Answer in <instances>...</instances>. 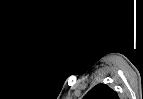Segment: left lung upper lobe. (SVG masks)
I'll list each match as a JSON object with an SVG mask.
<instances>
[{
  "label": "left lung upper lobe",
  "mask_w": 143,
  "mask_h": 99,
  "mask_svg": "<svg viewBox=\"0 0 143 99\" xmlns=\"http://www.w3.org/2000/svg\"><path fill=\"white\" fill-rule=\"evenodd\" d=\"M83 99H118V94L106 84H97Z\"/></svg>",
  "instance_id": "obj_1"
}]
</instances>
